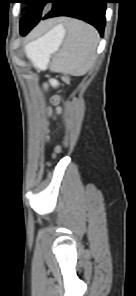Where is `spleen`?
<instances>
[{
  "label": "spleen",
  "instance_id": "spleen-1",
  "mask_svg": "<svg viewBox=\"0 0 136 296\" xmlns=\"http://www.w3.org/2000/svg\"><path fill=\"white\" fill-rule=\"evenodd\" d=\"M59 26L65 35L66 30ZM98 42L99 35L94 27L79 20H69L66 40L52 70L73 76L86 74L94 64ZM39 68L45 69L43 65Z\"/></svg>",
  "mask_w": 136,
  "mask_h": 296
}]
</instances>
